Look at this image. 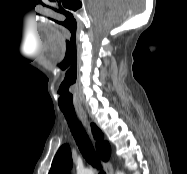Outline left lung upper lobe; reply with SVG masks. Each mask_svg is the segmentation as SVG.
I'll use <instances>...</instances> for the list:
<instances>
[{"mask_svg": "<svg viewBox=\"0 0 187 174\" xmlns=\"http://www.w3.org/2000/svg\"><path fill=\"white\" fill-rule=\"evenodd\" d=\"M72 167V158L71 152L68 145H63L58 150L53 163L51 165V169L49 174H65Z\"/></svg>", "mask_w": 187, "mask_h": 174, "instance_id": "obj_1", "label": "left lung upper lobe"}]
</instances>
